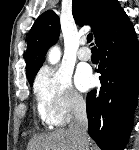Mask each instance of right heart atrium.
I'll list each match as a JSON object with an SVG mask.
<instances>
[{
    "label": "right heart atrium",
    "mask_w": 139,
    "mask_h": 150,
    "mask_svg": "<svg viewBox=\"0 0 139 150\" xmlns=\"http://www.w3.org/2000/svg\"><path fill=\"white\" fill-rule=\"evenodd\" d=\"M34 91L45 122L51 126H62L85 110L83 97L74 88L71 74L64 69H43Z\"/></svg>",
    "instance_id": "1"
}]
</instances>
